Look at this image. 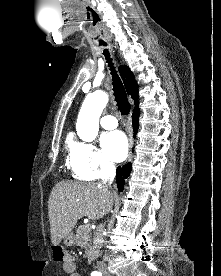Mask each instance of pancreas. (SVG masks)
<instances>
[{
	"mask_svg": "<svg viewBox=\"0 0 221 276\" xmlns=\"http://www.w3.org/2000/svg\"><path fill=\"white\" fill-rule=\"evenodd\" d=\"M91 228L89 225H80L76 231V243L78 246L90 249L91 243Z\"/></svg>",
	"mask_w": 221,
	"mask_h": 276,
	"instance_id": "cf45deb5",
	"label": "pancreas"
}]
</instances>
